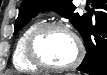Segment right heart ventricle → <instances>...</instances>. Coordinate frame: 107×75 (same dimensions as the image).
<instances>
[{
  "label": "right heart ventricle",
  "instance_id": "1",
  "mask_svg": "<svg viewBox=\"0 0 107 75\" xmlns=\"http://www.w3.org/2000/svg\"><path fill=\"white\" fill-rule=\"evenodd\" d=\"M39 25V21H35L28 25L16 41L13 53V64L19 71L34 72L38 70V67L28 60L26 56L25 46L28 36Z\"/></svg>",
  "mask_w": 107,
  "mask_h": 75
}]
</instances>
